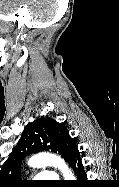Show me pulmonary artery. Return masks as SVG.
Masks as SVG:
<instances>
[{
	"mask_svg": "<svg viewBox=\"0 0 119 187\" xmlns=\"http://www.w3.org/2000/svg\"><path fill=\"white\" fill-rule=\"evenodd\" d=\"M37 178L44 180H54L57 179L58 176L55 172H42L37 176Z\"/></svg>",
	"mask_w": 119,
	"mask_h": 187,
	"instance_id": "e3ab8cb5",
	"label": "pulmonary artery"
}]
</instances>
